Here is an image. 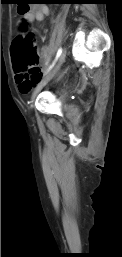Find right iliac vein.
Segmentation results:
<instances>
[{
  "label": "right iliac vein",
  "instance_id": "right-iliac-vein-1",
  "mask_svg": "<svg viewBox=\"0 0 122 257\" xmlns=\"http://www.w3.org/2000/svg\"><path fill=\"white\" fill-rule=\"evenodd\" d=\"M66 57V51H64L59 58V61L55 68L50 72L35 88L33 95H32V101L38 94V92L54 77V75L57 73V71L60 69L61 65L64 63Z\"/></svg>",
  "mask_w": 122,
  "mask_h": 257
}]
</instances>
